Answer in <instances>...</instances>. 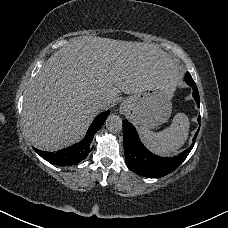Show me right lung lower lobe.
<instances>
[{
  "label": "right lung lower lobe",
  "mask_w": 228,
  "mask_h": 228,
  "mask_svg": "<svg viewBox=\"0 0 228 228\" xmlns=\"http://www.w3.org/2000/svg\"><path fill=\"white\" fill-rule=\"evenodd\" d=\"M109 113L110 111L108 110L98 115L89 127L85 138L73 146L59 150L55 153L40 151L36 148L33 149L42 158L52 164L58 166H69L77 164L85 159L88 153L92 150V148H90V143L94 137V134L102 127Z\"/></svg>",
  "instance_id": "1"
}]
</instances>
